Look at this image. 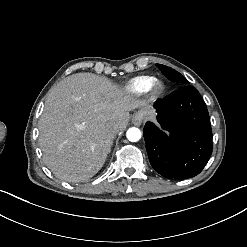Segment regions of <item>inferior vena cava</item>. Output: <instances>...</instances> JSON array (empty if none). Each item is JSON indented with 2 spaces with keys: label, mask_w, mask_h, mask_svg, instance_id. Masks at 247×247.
I'll return each mask as SVG.
<instances>
[{
  "label": "inferior vena cava",
  "mask_w": 247,
  "mask_h": 247,
  "mask_svg": "<svg viewBox=\"0 0 247 247\" xmlns=\"http://www.w3.org/2000/svg\"><path fill=\"white\" fill-rule=\"evenodd\" d=\"M108 132H109L110 138L113 139L120 132V128L118 126L110 127L108 129Z\"/></svg>",
  "instance_id": "602c4592"
}]
</instances>
